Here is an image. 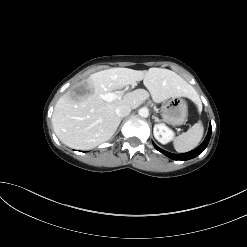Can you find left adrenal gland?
<instances>
[{"instance_id": "a2214340", "label": "left adrenal gland", "mask_w": 247, "mask_h": 247, "mask_svg": "<svg viewBox=\"0 0 247 247\" xmlns=\"http://www.w3.org/2000/svg\"><path fill=\"white\" fill-rule=\"evenodd\" d=\"M152 118L155 120V122H160L161 120L158 118V117H156V116H152Z\"/></svg>"}]
</instances>
